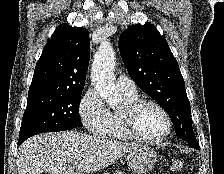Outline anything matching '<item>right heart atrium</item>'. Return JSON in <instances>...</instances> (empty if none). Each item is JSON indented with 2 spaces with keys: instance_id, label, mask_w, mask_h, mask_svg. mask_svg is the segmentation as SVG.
<instances>
[{
  "instance_id": "1",
  "label": "right heart atrium",
  "mask_w": 224,
  "mask_h": 174,
  "mask_svg": "<svg viewBox=\"0 0 224 174\" xmlns=\"http://www.w3.org/2000/svg\"><path fill=\"white\" fill-rule=\"evenodd\" d=\"M78 110L83 125L90 133H104L108 126L109 111L95 89L90 88L84 93Z\"/></svg>"
}]
</instances>
